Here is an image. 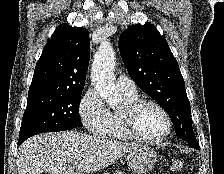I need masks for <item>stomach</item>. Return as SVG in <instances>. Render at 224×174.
<instances>
[{
    "label": "stomach",
    "mask_w": 224,
    "mask_h": 174,
    "mask_svg": "<svg viewBox=\"0 0 224 174\" xmlns=\"http://www.w3.org/2000/svg\"><path fill=\"white\" fill-rule=\"evenodd\" d=\"M157 159L156 151L145 145H140L128 153L126 157L128 167L137 174H144L151 170L155 166Z\"/></svg>",
    "instance_id": "stomach-1"
}]
</instances>
